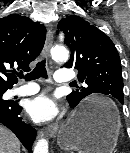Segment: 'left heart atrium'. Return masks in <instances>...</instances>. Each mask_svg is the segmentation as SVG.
I'll return each instance as SVG.
<instances>
[{
	"label": "left heart atrium",
	"mask_w": 130,
	"mask_h": 153,
	"mask_svg": "<svg viewBox=\"0 0 130 153\" xmlns=\"http://www.w3.org/2000/svg\"><path fill=\"white\" fill-rule=\"evenodd\" d=\"M27 112L32 119L43 122L54 118L59 108L51 95L43 93L28 102Z\"/></svg>",
	"instance_id": "39dd6f15"
}]
</instances>
